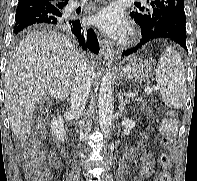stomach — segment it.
I'll return each instance as SVG.
<instances>
[{"instance_id": "0dacf381", "label": "stomach", "mask_w": 197, "mask_h": 181, "mask_svg": "<svg viewBox=\"0 0 197 181\" xmlns=\"http://www.w3.org/2000/svg\"><path fill=\"white\" fill-rule=\"evenodd\" d=\"M153 62L148 59L132 57L124 61L118 70V75L132 82L146 81L152 74Z\"/></svg>"}]
</instances>
